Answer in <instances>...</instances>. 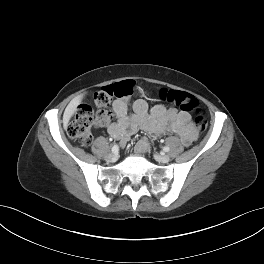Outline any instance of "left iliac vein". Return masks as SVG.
Listing matches in <instances>:
<instances>
[{
    "instance_id": "1",
    "label": "left iliac vein",
    "mask_w": 264,
    "mask_h": 264,
    "mask_svg": "<svg viewBox=\"0 0 264 264\" xmlns=\"http://www.w3.org/2000/svg\"><path fill=\"white\" fill-rule=\"evenodd\" d=\"M154 158L156 161L161 163H168L170 161V157L168 155L154 154Z\"/></svg>"
}]
</instances>
